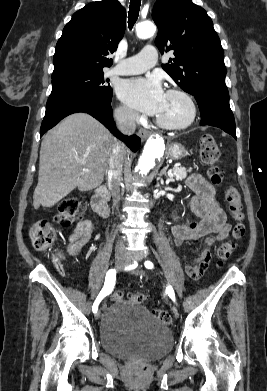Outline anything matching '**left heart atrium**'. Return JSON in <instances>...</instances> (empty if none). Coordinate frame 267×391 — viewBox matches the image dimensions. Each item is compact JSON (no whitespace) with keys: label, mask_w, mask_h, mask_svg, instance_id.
I'll return each mask as SVG.
<instances>
[{"label":"left heart atrium","mask_w":267,"mask_h":391,"mask_svg":"<svg viewBox=\"0 0 267 391\" xmlns=\"http://www.w3.org/2000/svg\"><path fill=\"white\" fill-rule=\"evenodd\" d=\"M118 95L135 110L158 115L162 109L165 92L157 77L133 78L121 83Z\"/></svg>","instance_id":"1"}]
</instances>
